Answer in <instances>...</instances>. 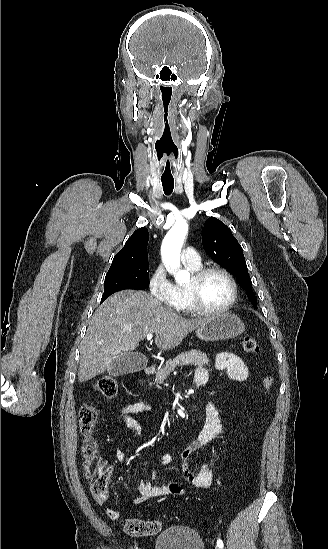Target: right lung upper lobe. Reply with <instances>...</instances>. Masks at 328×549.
<instances>
[{"instance_id":"obj_1","label":"right lung upper lobe","mask_w":328,"mask_h":549,"mask_svg":"<svg viewBox=\"0 0 328 549\" xmlns=\"http://www.w3.org/2000/svg\"><path fill=\"white\" fill-rule=\"evenodd\" d=\"M148 240V230L144 227L137 229L114 257L109 270L118 269L137 261L148 260L146 250Z\"/></svg>"}]
</instances>
